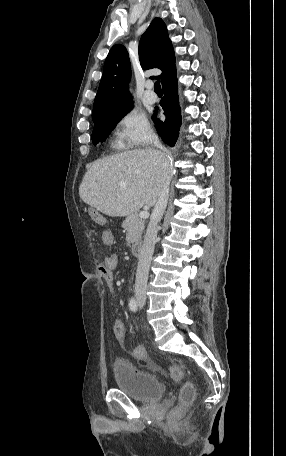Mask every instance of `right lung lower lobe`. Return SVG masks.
<instances>
[{
  "mask_svg": "<svg viewBox=\"0 0 286 456\" xmlns=\"http://www.w3.org/2000/svg\"><path fill=\"white\" fill-rule=\"evenodd\" d=\"M164 97L160 102L166 120L160 121L156 118V113L153 115V121L156 129L163 139L165 144L173 147L177 141L179 135V129L181 126V108L179 105L178 98V82L177 77L168 81L162 86Z\"/></svg>",
  "mask_w": 286,
  "mask_h": 456,
  "instance_id": "right-lung-lower-lobe-1",
  "label": "right lung lower lobe"
}]
</instances>
